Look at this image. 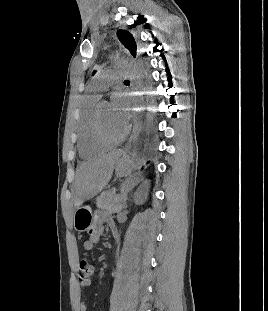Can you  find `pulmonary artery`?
<instances>
[{"instance_id":"pulmonary-artery-1","label":"pulmonary artery","mask_w":268,"mask_h":311,"mask_svg":"<svg viewBox=\"0 0 268 311\" xmlns=\"http://www.w3.org/2000/svg\"><path fill=\"white\" fill-rule=\"evenodd\" d=\"M126 77H128V73L124 70L104 72L96 77L91 84L90 90L97 96H100V93L105 91L109 86L121 82Z\"/></svg>"}]
</instances>
